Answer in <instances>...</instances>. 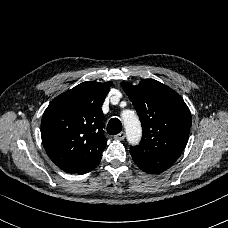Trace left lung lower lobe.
I'll return each instance as SVG.
<instances>
[{"mask_svg":"<svg viewBox=\"0 0 228 228\" xmlns=\"http://www.w3.org/2000/svg\"><path fill=\"white\" fill-rule=\"evenodd\" d=\"M140 169H142L143 171L147 172V173H151V174H157L159 172L153 171L152 169L149 168H145V167H140L138 166Z\"/></svg>","mask_w":228,"mask_h":228,"instance_id":"1","label":"left lung lower lobe"}]
</instances>
